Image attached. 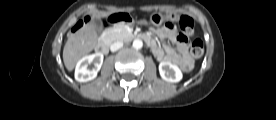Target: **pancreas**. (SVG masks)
<instances>
[{
	"label": "pancreas",
	"instance_id": "pancreas-1",
	"mask_svg": "<svg viewBox=\"0 0 276 120\" xmlns=\"http://www.w3.org/2000/svg\"><path fill=\"white\" fill-rule=\"evenodd\" d=\"M128 36H129V33L127 31V27L122 24H118L113 28L107 29L105 31V39L110 42L124 40Z\"/></svg>",
	"mask_w": 276,
	"mask_h": 120
}]
</instances>
